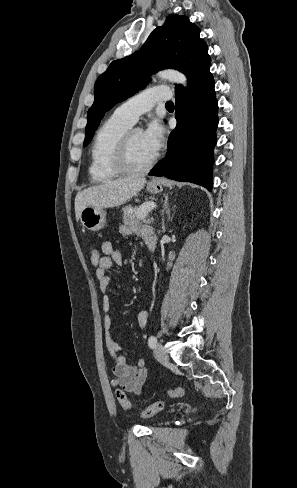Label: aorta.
Masks as SVG:
<instances>
[{"label": "aorta", "instance_id": "aorta-1", "mask_svg": "<svg viewBox=\"0 0 297 488\" xmlns=\"http://www.w3.org/2000/svg\"><path fill=\"white\" fill-rule=\"evenodd\" d=\"M157 76L160 79L169 80L171 82L181 84L185 88H187V78L184 74H182L179 71L167 69L158 72Z\"/></svg>", "mask_w": 297, "mask_h": 488}]
</instances>
